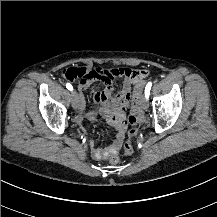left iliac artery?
Wrapping results in <instances>:
<instances>
[{"instance_id": "44dca946", "label": "left iliac artery", "mask_w": 217, "mask_h": 217, "mask_svg": "<svg viewBox=\"0 0 217 217\" xmlns=\"http://www.w3.org/2000/svg\"><path fill=\"white\" fill-rule=\"evenodd\" d=\"M152 82H148V84L145 87V97L148 99L150 95V90H151Z\"/></svg>"}]
</instances>
